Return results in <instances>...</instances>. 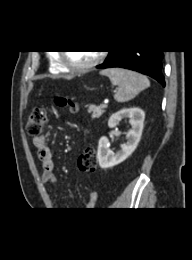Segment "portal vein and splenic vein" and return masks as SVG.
<instances>
[{"mask_svg": "<svg viewBox=\"0 0 192 260\" xmlns=\"http://www.w3.org/2000/svg\"><path fill=\"white\" fill-rule=\"evenodd\" d=\"M103 107H107V103L102 104Z\"/></svg>", "mask_w": 192, "mask_h": 260, "instance_id": "18ae733b", "label": "portal vein and splenic vein"}]
</instances>
